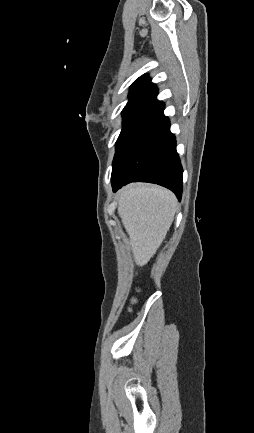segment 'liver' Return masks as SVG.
<instances>
[{"label":"liver","mask_w":254,"mask_h":433,"mask_svg":"<svg viewBox=\"0 0 254 433\" xmlns=\"http://www.w3.org/2000/svg\"><path fill=\"white\" fill-rule=\"evenodd\" d=\"M177 210L175 195L162 187L131 184L121 189L118 214L130 237L134 260L143 266L162 244Z\"/></svg>","instance_id":"6515ba94"}]
</instances>
